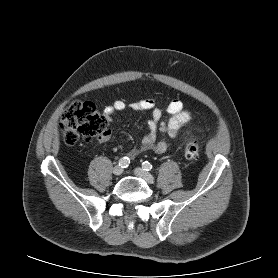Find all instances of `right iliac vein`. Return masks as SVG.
<instances>
[{"mask_svg": "<svg viewBox=\"0 0 278 278\" xmlns=\"http://www.w3.org/2000/svg\"><path fill=\"white\" fill-rule=\"evenodd\" d=\"M123 173V169H122V167H120V166H115L114 168H113V174L114 175H116V176H119V175H121Z\"/></svg>", "mask_w": 278, "mask_h": 278, "instance_id": "right-iliac-vein-1", "label": "right iliac vein"}]
</instances>
